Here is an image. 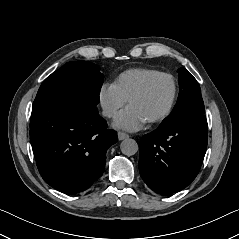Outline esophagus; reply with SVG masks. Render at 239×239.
<instances>
[{"instance_id": "obj_1", "label": "esophagus", "mask_w": 239, "mask_h": 239, "mask_svg": "<svg viewBox=\"0 0 239 239\" xmlns=\"http://www.w3.org/2000/svg\"><path fill=\"white\" fill-rule=\"evenodd\" d=\"M117 136H118V139H119V140H123V139H126V138L129 137L128 134H126V133H124V132H121V131L118 132Z\"/></svg>"}]
</instances>
